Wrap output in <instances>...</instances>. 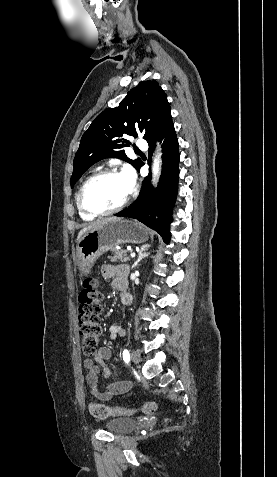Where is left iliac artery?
<instances>
[{"instance_id": "1", "label": "left iliac artery", "mask_w": 277, "mask_h": 477, "mask_svg": "<svg viewBox=\"0 0 277 477\" xmlns=\"http://www.w3.org/2000/svg\"><path fill=\"white\" fill-rule=\"evenodd\" d=\"M123 359L126 363H129V361H130V354H129V351L127 349H125L123 351Z\"/></svg>"}]
</instances>
